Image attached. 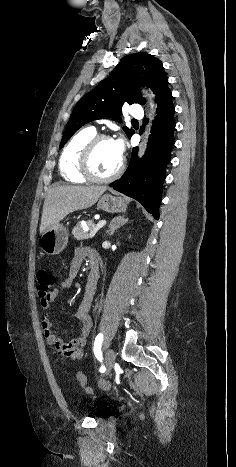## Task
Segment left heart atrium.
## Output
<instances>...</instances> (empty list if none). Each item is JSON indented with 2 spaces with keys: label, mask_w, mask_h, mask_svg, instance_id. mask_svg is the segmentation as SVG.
Here are the masks:
<instances>
[{
  "label": "left heart atrium",
  "mask_w": 236,
  "mask_h": 467,
  "mask_svg": "<svg viewBox=\"0 0 236 467\" xmlns=\"http://www.w3.org/2000/svg\"><path fill=\"white\" fill-rule=\"evenodd\" d=\"M112 142H113V145L115 147V150H116L118 156L120 158H122L123 153H124V143H123L122 139H116V140H113Z\"/></svg>",
  "instance_id": "1"
}]
</instances>
